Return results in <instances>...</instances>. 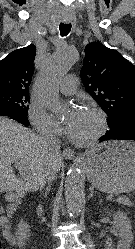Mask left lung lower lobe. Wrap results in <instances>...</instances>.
<instances>
[{"label":"left lung lower lobe","mask_w":135,"mask_h":249,"mask_svg":"<svg viewBox=\"0 0 135 249\" xmlns=\"http://www.w3.org/2000/svg\"><path fill=\"white\" fill-rule=\"evenodd\" d=\"M100 142L107 140H135V113H128L123 122L110 128Z\"/></svg>","instance_id":"left-lung-lower-lobe-1"}]
</instances>
